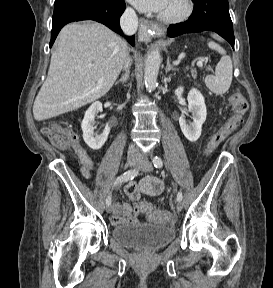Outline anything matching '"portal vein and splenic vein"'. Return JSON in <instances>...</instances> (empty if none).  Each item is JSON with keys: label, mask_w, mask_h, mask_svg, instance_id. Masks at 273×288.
I'll return each instance as SVG.
<instances>
[{"label": "portal vein and splenic vein", "mask_w": 273, "mask_h": 288, "mask_svg": "<svg viewBox=\"0 0 273 288\" xmlns=\"http://www.w3.org/2000/svg\"><path fill=\"white\" fill-rule=\"evenodd\" d=\"M197 66H198V67H202V66H203L202 61H198V62H197ZM101 82H102V81H99V83H101Z\"/></svg>", "instance_id": "portal-vein-and-splenic-vein-1"}]
</instances>
